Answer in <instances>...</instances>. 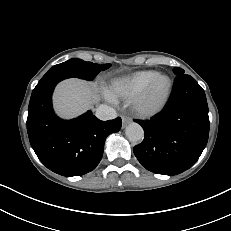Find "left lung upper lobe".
I'll return each instance as SVG.
<instances>
[{
  "instance_id": "obj_1",
  "label": "left lung upper lobe",
  "mask_w": 231,
  "mask_h": 231,
  "mask_svg": "<svg viewBox=\"0 0 231 231\" xmlns=\"http://www.w3.org/2000/svg\"><path fill=\"white\" fill-rule=\"evenodd\" d=\"M173 72L175 73V75H183L184 74V70L181 68H174Z\"/></svg>"
}]
</instances>
